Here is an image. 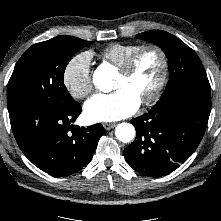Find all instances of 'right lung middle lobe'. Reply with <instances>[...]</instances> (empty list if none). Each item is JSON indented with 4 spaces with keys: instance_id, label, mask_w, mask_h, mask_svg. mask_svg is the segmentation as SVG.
<instances>
[{
    "instance_id": "dd1d6c3e",
    "label": "right lung middle lobe",
    "mask_w": 221,
    "mask_h": 221,
    "mask_svg": "<svg viewBox=\"0 0 221 221\" xmlns=\"http://www.w3.org/2000/svg\"><path fill=\"white\" fill-rule=\"evenodd\" d=\"M91 44L92 41L60 35L31 46L15 65L8 82V109L29 102L48 107L75 103L63 82L65 68L76 52Z\"/></svg>"
}]
</instances>
